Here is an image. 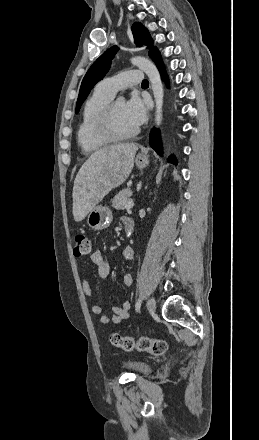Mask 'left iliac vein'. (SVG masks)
Instances as JSON below:
<instances>
[{"label":"left iliac vein","instance_id":"1","mask_svg":"<svg viewBox=\"0 0 259 440\" xmlns=\"http://www.w3.org/2000/svg\"><path fill=\"white\" fill-rule=\"evenodd\" d=\"M155 307H156V304H155L154 298L153 297L149 298L148 301H147V310H148V312H150V313L154 312Z\"/></svg>","mask_w":259,"mask_h":440}]
</instances>
